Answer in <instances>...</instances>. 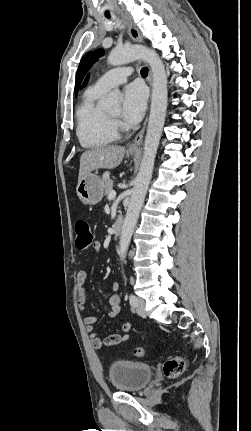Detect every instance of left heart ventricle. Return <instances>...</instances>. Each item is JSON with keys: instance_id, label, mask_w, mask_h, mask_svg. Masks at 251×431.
<instances>
[{"instance_id": "obj_1", "label": "left heart ventricle", "mask_w": 251, "mask_h": 431, "mask_svg": "<svg viewBox=\"0 0 251 431\" xmlns=\"http://www.w3.org/2000/svg\"><path fill=\"white\" fill-rule=\"evenodd\" d=\"M108 114L114 116V117H119L121 114V109L120 108H115L111 111L108 112Z\"/></svg>"}]
</instances>
